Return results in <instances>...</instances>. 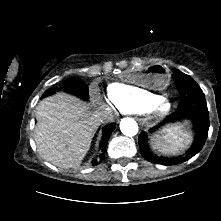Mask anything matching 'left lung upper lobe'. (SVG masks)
<instances>
[{"label":"left lung upper lobe","instance_id":"5c2ea615","mask_svg":"<svg viewBox=\"0 0 221 221\" xmlns=\"http://www.w3.org/2000/svg\"><path fill=\"white\" fill-rule=\"evenodd\" d=\"M173 78L179 88V93L182 98L185 96L202 93V89L189 75H186L179 70H175L173 73Z\"/></svg>","mask_w":221,"mask_h":221}]
</instances>
